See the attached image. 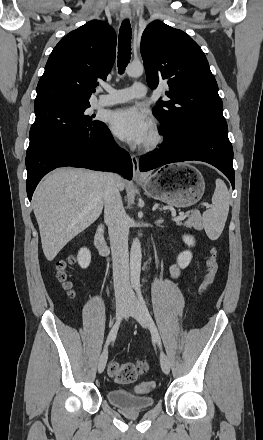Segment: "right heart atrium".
<instances>
[{
	"label": "right heart atrium",
	"mask_w": 263,
	"mask_h": 440,
	"mask_svg": "<svg viewBox=\"0 0 263 440\" xmlns=\"http://www.w3.org/2000/svg\"><path fill=\"white\" fill-rule=\"evenodd\" d=\"M113 141H114L115 143H118V139H117L116 137H113Z\"/></svg>",
	"instance_id": "1"
}]
</instances>
